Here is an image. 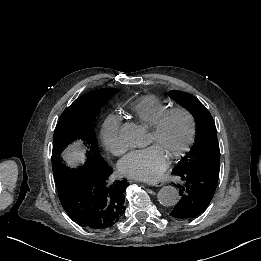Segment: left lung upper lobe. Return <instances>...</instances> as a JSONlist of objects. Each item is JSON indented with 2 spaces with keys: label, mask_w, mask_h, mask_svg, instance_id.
Segmentation results:
<instances>
[{
  "label": "left lung upper lobe",
  "mask_w": 261,
  "mask_h": 261,
  "mask_svg": "<svg viewBox=\"0 0 261 261\" xmlns=\"http://www.w3.org/2000/svg\"><path fill=\"white\" fill-rule=\"evenodd\" d=\"M168 95L192 113L197 126L193 147L174 169L199 168L219 173L220 149L211 114L189 93L172 90Z\"/></svg>",
  "instance_id": "5c2ea615"
}]
</instances>
